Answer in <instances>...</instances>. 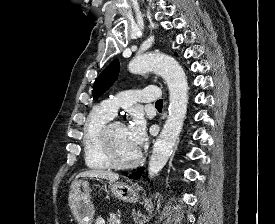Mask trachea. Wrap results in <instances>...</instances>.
I'll return each instance as SVG.
<instances>
[{
    "mask_svg": "<svg viewBox=\"0 0 275 224\" xmlns=\"http://www.w3.org/2000/svg\"><path fill=\"white\" fill-rule=\"evenodd\" d=\"M155 106H156V107H162V106H163V100H162V99L158 100V101L155 103Z\"/></svg>",
    "mask_w": 275,
    "mask_h": 224,
    "instance_id": "3493384b",
    "label": "trachea"
}]
</instances>
